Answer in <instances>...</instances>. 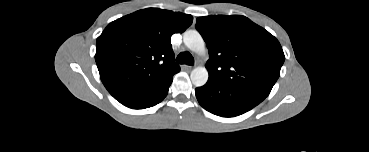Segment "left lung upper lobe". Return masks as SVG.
I'll list each match as a JSON object with an SVG mask.
<instances>
[{
	"label": "left lung upper lobe",
	"mask_w": 369,
	"mask_h": 152,
	"mask_svg": "<svg viewBox=\"0 0 369 152\" xmlns=\"http://www.w3.org/2000/svg\"><path fill=\"white\" fill-rule=\"evenodd\" d=\"M196 29L209 50V78L268 96L285 60L278 40L247 17L204 16Z\"/></svg>",
	"instance_id": "1"
}]
</instances>
